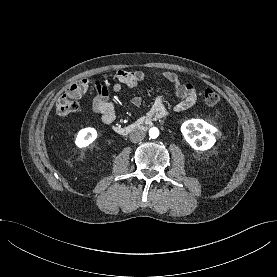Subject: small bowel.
<instances>
[{
  "label": "small bowel",
  "instance_id": "1",
  "mask_svg": "<svg viewBox=\"0 0 277 277\" xmlns=\"http://www.w3.org/2000/svg\"><path fill=\"white\" fill-rule=\"evenodd\" d=\"M153 76L162 77L174 85V90L180 99L175 105L176 112H182L191 108L197 100V91L191 83L181 82L178 76L170 71L154 72ZM146 78L143 71H118L114 74L115 84L113 90L116 93H122L124 88H133L139 82ZM87 81L88 84L89 81ZM96 95L92 98L91 109L94 113L100 115L101 120L105 124H111L116 117L113 103L109 100V87L106 83L96 81L93 83ZM80 97V96H79ZM78 97V98H79ZM142 97L135 96L131 99L134 106L142 104ZM169 114V110L161 96H157L149 110L148 116L153 120L165 118Z\"/></svg>",
  "mask_w": 277,
  "mask_h": 277
}]
</instances>
